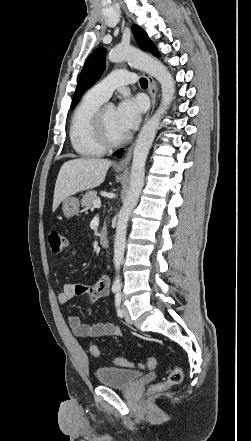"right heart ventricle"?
<instances>
[{
	"label": "right heart ventricle",
	"mask_w": 251,
	"mask_h": 441,
	"mask_svg": "<svg viewBox=\"0 0 251 441\" xmlns=\"http://www.w3.org/2000/svg\"><path fill=\"white\" fill-rule=\"evenodd\" d=\"M105 99L88 91L73 111L69 137L75 152L81 157H98L105 152L94 132V117Z\"/></svg>",
	"instance_id": "1"
}]
</instances>
